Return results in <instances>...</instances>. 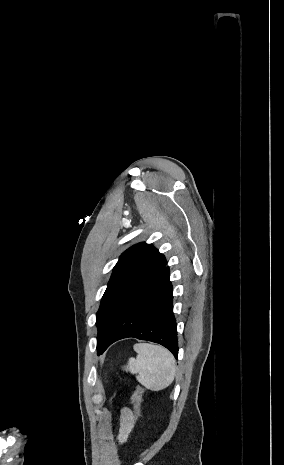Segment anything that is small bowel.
<instances>
[{
  "mask_svg": "<svg viewBox=\"0 0 284 465\" xmlns=\"http://www.w3.org/2000/svg\"><path fill=\"white\" fill-rule=\"evenodd\" d=\"M134 423L135 416L129 409L124 408L121 412L120 427L117 437L119 443L123 444L127 441V438L134 426Z\"/></svg>",
  "mask_w": 284,
  "mask_h": 465,
  "instance_id": "1",
  "label": "small bowel"
}]
</instances>
